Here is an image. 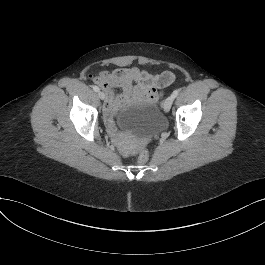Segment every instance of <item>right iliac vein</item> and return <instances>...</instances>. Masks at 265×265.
Here are the masks:
<instances>
[{
	"label": "right iliac vein",
	"mask_w": 265,
	"mask_h": 265,
	"mask_svg": "<svg viewBox=\"0 0 265 265\" xmlns=\"http://www.w3.org/2000/svg\"><path fill=\"white\" fill-rule=\"evenodd\" d=\"M98 96L101 100H104L105 99V94L103 92H99L98 93Z\"/></svg>",
	"instance_id": "1"
}]
</instances>
